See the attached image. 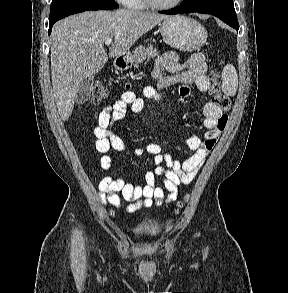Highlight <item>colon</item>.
<instances>
[{
	"mask_svg": "<svg viewBox=\"0 0 288 293\" xmlns=\"http://www.w3.org/2000/svg\"><path fill=\"white\" fill-rule=\"evenodd\" d=\"M212 85L209 89V91L213 95V99L216 102V104L224 111L227 112L230 109V99L224 95L221 92L220 89V83L218 80V72L214 70L212 72ZM109 95V89L107 88L104 83L97 81L93 84L92 89H91V102L92 103H99L103 100H105ZM188 202V197L186 196L183 201L180 203V207H183L184 204Z\"/></svg>",
	"mask_w": 288,
	"mask_h": 293,
	"instance_id": "obj_1",
	"label": "colon"
}]
</instances>
